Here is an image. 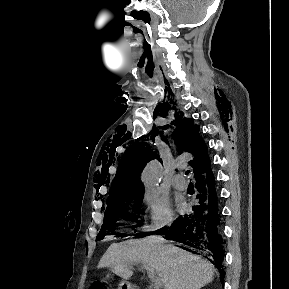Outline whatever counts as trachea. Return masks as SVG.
Here are the masks:
<instances>
[{
    "label": "trachea",
    "mask_w": 289,
    "mask_h": 289,
    "mask_svg": "<svg viewBox=\"0 0 289 289\" xmlns=\"http://www.w3.org/2000/svg\"><path fill=\"white\" fill-rule=\"evenodd\" d=\"M189 173H190V171H189V170H187V171H186V175H188Z\"/></svg>",
    "instance_id": "1"
}]
</instances>
